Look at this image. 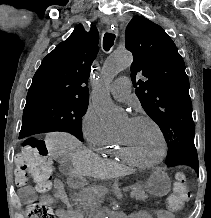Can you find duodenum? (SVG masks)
Instances as JSON below:
<instances>
[{
  "mask_svg": "<svg viewBox=\"0 0 211 218\" xmlns=\"http://www.w3.org/2000/svg\"><path fill=\"white\" fill-rule=\"evenodd\" d=\"M82 184V176L78 173H73L68 177V185L72 188H77ZM97 218H138L135 212L112 211L110 209H98L95 212Z\"/></svg>",
  "mask_w": 211,
  "mask_h": 218,
  "instance_id": "410a0bca",
  "label": "duodenum"
}]
</instances>
